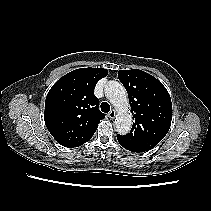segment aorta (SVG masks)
I'll use <instances>...</instances> for the list:
<instances>
[{"mask_svg": "<svg viewBox=\"0 0 211 211\" xmlns=\"http://www.w3.org/2000/svg\"><path fill=\"white\" fill-rule=\"evenodd\" d=\"M105 94L117 111L115 119L117 132L121 135L129 133L132 126V114L125 88L117 81H109L105 86Z\"/></svg>", "mask_w": 211, "mask_h": 211, "instance_id": "obj_1", "label": "aorta"}]
</instances>
